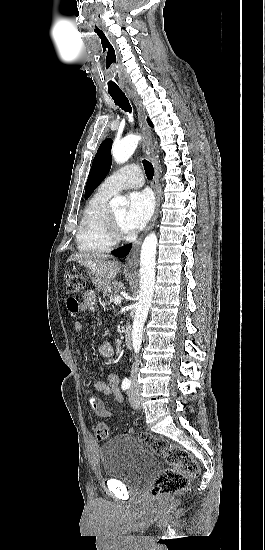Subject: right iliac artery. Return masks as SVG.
I'll list each match as a JSON object with an SVG mask.
<instances>
[{
    "instance_id": "right-iliac-artery-1",
    "label": "right iliac artery",
    "mask_w": 265,
    "mask_h": 550,
    "mask_svg": "<svg viewBox=\"0 0 265 550\" xmlns=\"http://www.w3.org/2000/svg\"><path fill=\"white\" fill-rule=\"evenodd\" d=\"M130 385H131V381H130L129 379L126 378V379H124V380L122 381L121 388H122V390L125 391V390H127V389L130 387Z\"/></svg>"
}]
</instances>
